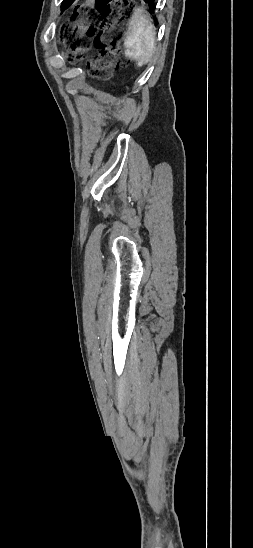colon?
<instances>
[{
	"instance_id": "5ec220e1",
	"label": "colon",
	"mask_w": 253,
	"mask_h": 548,
	"mask_svg": "<svg viewBox=\"0 0 253 548\" xmlns=\"http://www.w3.org/2000/svg\"><path fill=\"white\" fill-rule=\"evenodd\" d=\"M135 9L133 0H87L73 13V24L67 33L68 57L80 60L94 45L98 56L90 64L93 78L107 80L114 70L129 64L120 49L124 25Z\"/></svg>"
}]
</instances>
